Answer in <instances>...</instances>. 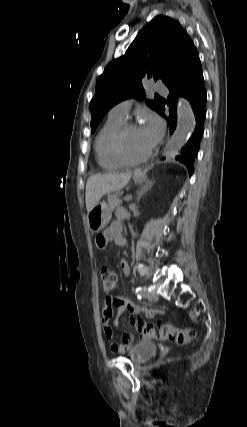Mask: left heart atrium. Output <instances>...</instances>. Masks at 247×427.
<instances>
[{
    "label": "left heart atrium",
    "instance_id": "39dd6f15",
    "mask_svg": "<svg viewBox=\"0 0 247 427\" xmlns=\"http://www.w3.org/2000/svg\"><path fill=\"white\" fill-rule=\"evenodd\" d=\"M141 132L144 134L151 146L156 144L161 138L164 125L162 121L153 114H147L144 118V123L140 128Z\"/></svg>",
    "mask_w": 247,
    "mask_h": 427
}]
</instances>
